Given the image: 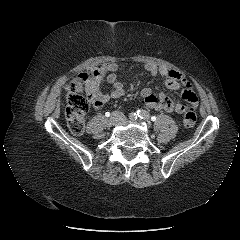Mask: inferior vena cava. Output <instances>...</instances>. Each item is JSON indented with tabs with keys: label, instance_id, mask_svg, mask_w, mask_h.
I'll use <instances>...</instances> for the list:
<instances>
[{
	"label": "inferior vena cava",
	"instance_id": "602c4592",
	"mask_svg": "<svg viewBox=\"0 0 240 240\" xmlns=\"http://www.w3.org/2000/svg\"><path fill=\"white\" fill-rule=\"evenodd\" d=\"M115 115L117 116V117H119V119H120V121L121 122H124L125 121V116H124V114L122 113V112H115Z\"/></svg>",
	"mask_w": 240,
	"mask_h": 240
}]
</instances>
